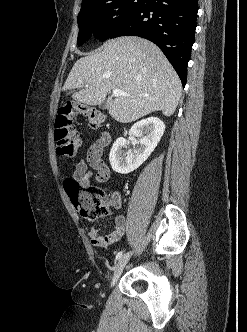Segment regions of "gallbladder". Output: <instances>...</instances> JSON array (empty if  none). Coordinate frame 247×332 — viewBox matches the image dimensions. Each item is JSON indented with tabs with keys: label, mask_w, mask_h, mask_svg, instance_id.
<instances>
[{
	"label": "gallbladder",
	"mask_w": 247,
	"mask_h": 332,
	"mask_svg": "<svg viewBox=\"0 0 247 332\" xmlns=\"http://www.w3.org/2000/svg\"><path fill=\"white\" fill-rule=\"evenodd\" d=\"M99 108L101 109H105L106 108V102H102L100 105H99Z\"/></svg>",
	"instance_id": "gallbladder-1"
}]
</instances>
